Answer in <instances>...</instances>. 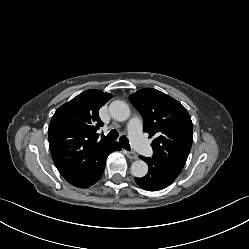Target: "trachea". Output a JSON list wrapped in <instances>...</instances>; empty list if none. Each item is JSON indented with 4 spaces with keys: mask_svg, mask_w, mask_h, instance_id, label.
Returning a JSON list of instances; mask_svg holds the SVG:
<instances>
[{
    "mask_svg": "<svg viewBox=\"0 0 249 249\" xmlns=\"http://www.w3.org/2000/svg\"><path fill=\"white\" fill-rule=\"evenodd\" d=\"M106 139L108 140H116L118 138V132L116 130H111L107 136L105 137ZM119 141H120V144L121 146L125 149V150H128L130 151L131 148H130V144H129V141L128 139L125 137V136H121L119 138Z\"/></svg>",
    "mask_w": 249,
    "mask_h": 249,
    "instance_id": "1",
    "label": "trachea"
}]
</instances>
